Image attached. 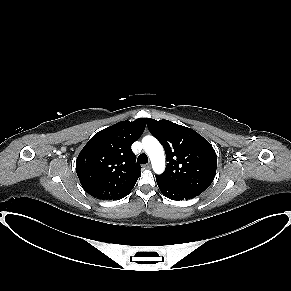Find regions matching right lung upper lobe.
Returning a JSON list of instances; mask_svg holds the SVG:
<instances>
[{
  "mask_svg": "<svg viewBox=\"0 0 291 291\" xmlns=\"http://www.w3.org/2000/svg\"><path fill=\"white\" fill-rule=\"evenodd\" d=\"M146 118L121 121L96 133L76 160L84 190L97 199L118 200L133 189L141 167L131 145L140 138Z\"/></svg>",
  "mask_w": 291,
  "mask_h": 291,
  "instance_id": "1",
  "label": "right lung upper lobe"
}]
</instances>
